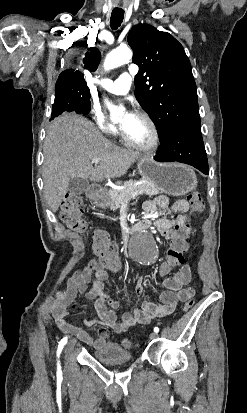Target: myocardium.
Listing matches in <instances>:
<instances>
[{
  "mask_svg": "<svg viewBox=\"0 0 247 413\" xmlns=\"http://www.w3.org/2000/svg\"><path fill=\"white\" fill-rule=\"evenodd\" d=\"M140 116L142 119L146 120L148 124L150 125V127L153 129V132H154L153 140L147 144L139 143V142L132 140L130 137H128L122 130H121V136H122L124 143L127 146L133 149H136L138 151H150V150L157 148L160 145L162 141V133H161L160 128L157 126V124L155 123V121L149 114H147L146 112H141Z\"/></svg>",
  "mask_w": 247,
  "mask_h": 413,
  "instance_id": "f54148a6",
  "label": "myocardium"
}]
</instances>
